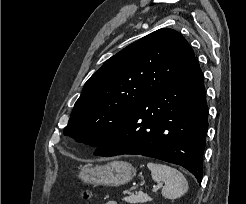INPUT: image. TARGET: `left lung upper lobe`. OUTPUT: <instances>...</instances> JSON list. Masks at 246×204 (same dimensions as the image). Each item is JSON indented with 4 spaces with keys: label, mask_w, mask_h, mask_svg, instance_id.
Wrapping results in <instances>:
<instances>
[{
    "label": "left lung upper lobe",
    "mask_w": 246,
    "mask_h": 204,
    "mask_svg": "<svg viewBox=\"0 0 246 204\" xmlns=\"http://www.w3.org/2000/svg\"><path fill=\"white\" fill-rule=\"evenodd\" d=\"M193 58L189 43L169 28L130 44L86 82L64 133L97 147L121 120Z\"/></svg>",
    "instance_id": "1"
}]
</instances>
